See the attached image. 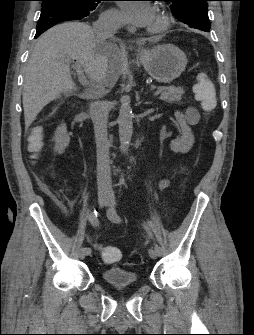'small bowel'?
<instances>
[{"label": "small bowel", "instance_id": "obj_1", "mask_svg": "<svg viewBox=\"0 0 254 335\" xmlns=\"http://www.w3.org/2000/svg\"><path fill=\"white\" fill-rule=\"evenodd\" d=\"M41 144H42V143H41ZM41 153H42V151H41ZM168 184H169L168 179H163V180H161V182H160V187H161V188H165V187L168 186Z\"/></svg>", "mask_w": 254, "mask_h": 335}]
</instances>
